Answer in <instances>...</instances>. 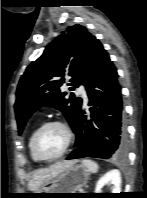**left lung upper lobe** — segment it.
Returning a JSON list of instances; mask_svg holds the SVG:
<instances>
[{"label": "left lung upper lobe", "mask_w": 147, "mask_h": 198, "mask_svg": "<svg viewBox=\"0 0 147 198\" xmlns=\"http://www.w3.org/2000/svg\"><path fill=\"white\" fill-rule=\"evenodd\" d=\"M95 39L84 26L68 27L47 46L41 57L27 67L16 92L19 134L33 112L42 106L62 111L74 130L82 99L73 96L66 99V93L60 92V88L67 84L72 91L81 84L85 85ZM66 74L70 76L69 83L64 79Z\"/></svg>", "instance_id": "5c2ea615"}]
</instances>
